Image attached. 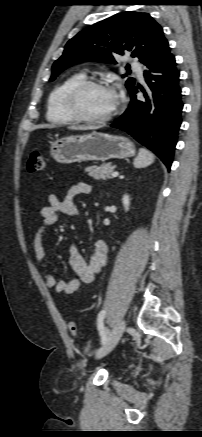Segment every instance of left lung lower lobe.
Masks as SVG:
<instances>
[{
	"label": "left lung lower lobe",
	"mask_w": 202,
	"mask_h": 437,
	"mask_svg": "<svg viewBox=\"0 0 202 437\" xmlns=\"http://www.w3.org/2000/svg\"><path fill=\"white\" fill-rule=\"evenodd\" d=\"M146 66L148 90L141 89L145 99L137 98L138 88L134 87L128 108L111 126L131 134L170 169L182 122L180 73L168 44Z\"/></svg>",
	"instance_id": "0a47b994"
}]
</instances>
